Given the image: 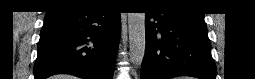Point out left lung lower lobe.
I'll use <instances>...</instances> for the list:
<instances>
[{
	"label": "left lung lower lobe",
	"instance_id": "1",
	"mask_svg": "<svg viewBox=\"0 0 255 79\" xmlns=\"http://www.w3.org/2000/svg\"><path fill=\"white\" fill-rule=\"evenodd\" d=\"M147 12L141 79L193 76L215 79L216 66L203 14L160 7Z\"/></svg>",
	"mask_w": 255,
	"mask_h": 79
}]
</instances>
